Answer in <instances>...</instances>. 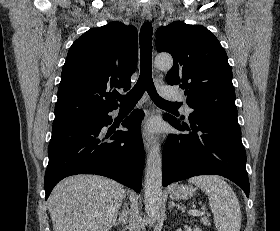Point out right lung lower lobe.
Segmentation results:
<instances>
[{
    "mask_svg": "<svg viewBox=\"0 0 280 231\" xmlns=\"http://www.w3.org/2000/svg\"><path fill=\"white\" fill-rule=\"evenodd\" d=\"M110 111L53 123L44 178L46 199L60 180L75 174L106 176L140 192L145 157L139 128L144 113L137 110L122 122L128 132L105 135L102 128L112 123Z\"/></svg>",
    "mask_w": 280,
    "mask_h": 231,
    "instance_id": "98d812e1",
    "label": "right lung lower lobe"
}]
</instances>
